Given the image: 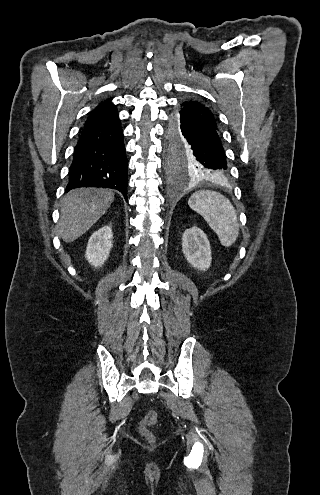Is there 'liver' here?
<instances>
[{"label":"liver","instance_id":"1","mask_svg":"<svg viewBox=\"0 0 320 495\" xmlns=\"http://www.w3.org/2000/svg\"><path fill=\"white\" fill-rule=\"evenodd\" d=\"M114 201L112 190L77 188L63 200L58 233L65 242H72L89 230Z\"/></svg>","mask_w":320,"mask_h":495}]
</instances>
